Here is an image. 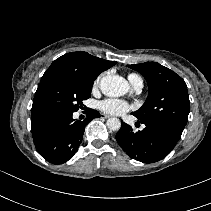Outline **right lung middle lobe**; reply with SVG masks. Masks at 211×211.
Here are the masks:
<instances>
[{"label":"right lung middle lobe","mask_w":211,"mask_h":211,"mask_svg":"<svg viewBox=\"0 0 211 211\" xmlns=\"http://www.w3.org/2000/svg\"><path fill=\"white\" fill-rule=\"evenodd\" d=\"M93 81L72 72H53L38 86L34 109L39 115L76 112L91 97Z\"/></svg>","instance_id":"obj_1"}]
</instances>
